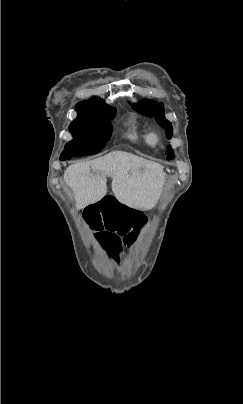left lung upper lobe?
Listing matches in <instances>:
<instances>
[{"label": "left lung upper lobe", "mask_w": 243, "mask_h": 404, "mask_svg": "<svg viewBox=\"0 0 243 404\" xmlns=\"http://www.w3.org/2000/svg\"><path fill=\"white\" fill-rule=\"evenodd\" d=\"M133 108L138 112L147 115L149 117H155L159 125L166 130V136L168 139L172 136V126L171 123L164 117V108L162 103L156 104L155 102H144L143 104H134ZM166 155L168 159H172L173 151L171 146H167Z\"/></svg>", "instance_id": "obj_1"}]
</instances>
